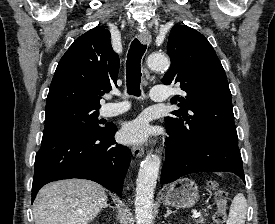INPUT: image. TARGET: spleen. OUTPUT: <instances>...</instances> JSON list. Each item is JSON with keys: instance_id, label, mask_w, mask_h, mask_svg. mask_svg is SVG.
Masks as SVG:
<instances>
[{"instance_id": "spleen-1", "label": "spleen", "mask_w": 275, "mask_h": 224, "mask_svg": "<svg viewBox=\"0 0 275 224\" xmlns=\"http://www.w3.org/2000/svg\"><path fill=\"white\" fill-rule=\"evenodd\" d=\"M247 201L243 193H238L230 206V212L226 224H245Z\"/></svg>"}]
</instances>
